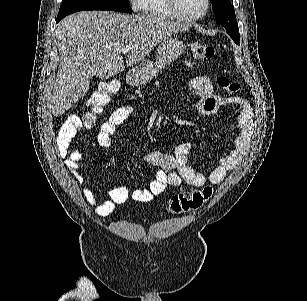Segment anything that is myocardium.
<instances>
[{
	"label": "myocardium",
	"mask_w": 307,
	"mask_h": 301,
	"mask_svg": "<svg viewBox=\"0 0 307 301\" xmlns=\"http://www.w3.org/2000/svg\"><path fill=\"white\" fill-rule=\"evenodd\" d=\"M177 0H165L168 6L165 11L168 12L169 17L174 18L175 22H200V17H204L207 13V0H202L201 10L199 11H175V5Z\"/></svg>",
	"instance_id": "obj_1"
}]
</instances>
